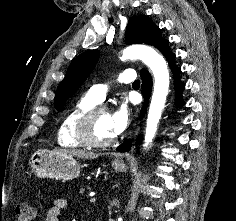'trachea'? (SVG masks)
Masks as SVG:
<instances>
[{
    "label": "trachea",
    "mask_w": 236,
    "mask_h": 221,
    "mask_svg": "<svg viewBox=\"0 0 236 221\" xmlns=\"http://www.w3.org/2000/svg\"><path fill=\"white\" fill-rule=\"evenodd\" d=\"M133 85H140V80H136L133 82Z\"/></svg>",
    "instance_id": "obj_1"
}]
</instances>
